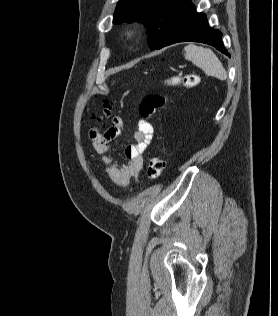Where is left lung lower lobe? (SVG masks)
I'll return each mask as SVG.
<instances>
[{
	"mask_svg": "<svg viewBox=\"0 0 278 316\" xmlns=\"http://www.w3.org/2000/svg\"><path fill=\"white\" fill-rule=\"evenodd\" d=\"M186 41L210 44L220 52L230 56L222 43V33L210 28L205 14L198 13L191 2L181 17L175 32L164 47Z\"/></svg>",
	"mask_w": 278,
	"mask_h": 316,
	"instance_id": "left-lung-lower-lobe-1",
	"label": "left lung lower lobe"
}]
</instances>
